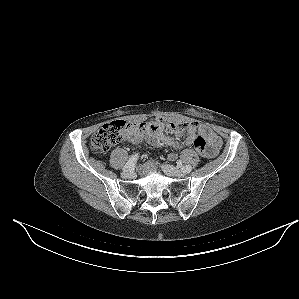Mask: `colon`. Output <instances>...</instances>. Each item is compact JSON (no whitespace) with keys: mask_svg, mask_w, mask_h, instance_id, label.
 <instances>
[{"mask_svg":"<svg viewBox=\"0 0 299 299\" xmlns=\"http://www.w3.org/2000/svg\"><path fill=\"white\" fill-rule=\"evenodd\" d=\"M161 126L176 135H185L188 123L175 122L167 118L160 119ZM145 123H132L125 120H114L105 124L91 139L90 146L93 151L99 153L108 152L114 145L121 142L127 132L132 128L144 129ZM194 148L202 156L209 154L207 141L202 136H197L193 142Z\"/></svg>","mask_w":299,"mask_h":299,"instance_id":"5ec220e1","label":"colon"}]
</instances>
